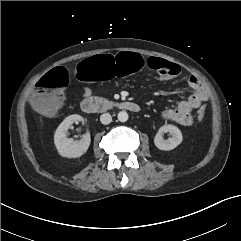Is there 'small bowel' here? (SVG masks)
<instances>
[{"instance_id":"c3829d8e","label":"small bowel","mask_w":241,"mask_h":241,"mask_svg":"<svg viewBox=\"0 0 241 241\" xmlns=\"http://www.w3.org/2000/svg\"><path fill=\"white\" fill-rule=\"evenodd\" d=\"M188 84L194 92L186 99L180 101L175 108L164 110L162 113L164 119L174 121L183 126H190L193 123L191 112L199 108L207 100V91L201 81L195 76L188 78ZM83 97H92L89 88L84 89Z\"/></svg>"}]
</instances>
